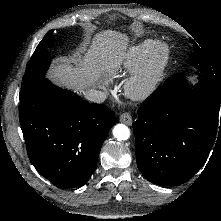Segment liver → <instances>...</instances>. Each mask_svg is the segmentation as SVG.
Here are the masks:
<instances>
[{"instance_id": "6515ba94", "label": "liver", "mask_w": 221, "mask_h": 221, "mask_svg": "<svg viewBox=\"0 0 221 221\" xmlns=\"http://www.w3.org/2000/svg\"><path fill=\"white\" fill-rule=\"evenodd\" d=\"M128 37L119 32L106 30L98 33L83 59L66 58L55 62L49 71V78L61 86L83 92L94 85L101 75L114 72L126 58Z\"/></svg>"}]
</instances>
